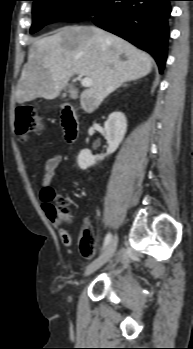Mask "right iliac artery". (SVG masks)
<instances>
[{
    "instance_id": "right-iliac-artery-1",
    "label": "right iliac artery",
    "mask_w": 193,
    "mask_h": 349,
    "mask_svg": "<svg viewBox=\"0 0 193 349\" xmlns=\"http://www.w3.org/2000/svg\"><path fill=\"white\" fill-rule=\"evenodd\" d=\"M111 234H107L106 237H105V240H104V244H103V249L106 248V246L110 243L111 241Z\"/></svg>"
}]
</instances>
